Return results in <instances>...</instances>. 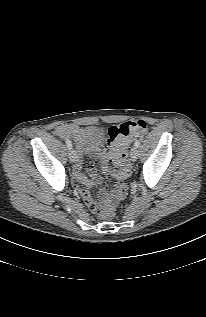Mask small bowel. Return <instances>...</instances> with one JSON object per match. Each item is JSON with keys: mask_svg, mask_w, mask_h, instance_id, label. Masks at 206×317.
Segmentation results:
<instances>
[{"mask_svg": "<svg viewBox=\"0 0 206 317\" xmlns=\"http://www.w3.org/2000/svg\"><path fill=\"white\" fill-rule=\"evenodd\" d=\"M54 133L59 136L61 139L69 140L74 139L77 142L76 151L78 155V160L74 166V179L85 185H92L100 183V177L96 173V170L93 166L87 168L89 179L82 173V165L80 157L85 154H89L94 157H102L104 164V171L106 173H112L113 170L110 167L108 160L104 156V149L101 145H96L92 147H87L84 141V135L86 131L75 124H63L55 128ZM112 153L110 154L111 158ZM79 193L86 203V205L95 212L97 203L93 199L89 191L80 189ZM117 194V193H116ZM125 194V185L122 184L120 192L117 194L118 198H122Z\"/></svg>", "mask_w": 206, "mask_h": 317, "instance_id": "small-bowel-1", "label": "small bowel"}]
</instances>
